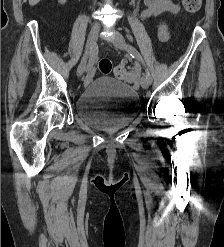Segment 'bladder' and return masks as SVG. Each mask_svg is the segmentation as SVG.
<instances>
[{"label":"bladder","mask_w":224,"mask_h":247,"mask_svg":"<svg viewBox=\"0 0 224 247\" xmlns=\"http://www.w3.org/2000/svg\"><path fill=\"white\" fill-rule=\"evenodd\" d=\"M139 109L138 93L108 76L90 82L75 103L76 114L86 125L108 133L128 126Z\"/></svg>","instance_id":"bladder-1"}]
</instances>
